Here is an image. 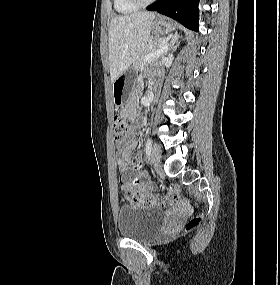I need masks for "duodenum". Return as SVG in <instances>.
Here are the masks:
<instances>
[{
	"label": "duodenum",
	"mask_w": 280,
	"mask_h": 285,
	"mask_svg": "<svg viewBox=\"0 0 280 285\" xmlns=\"http://www.w3.org/2000/svg\"><path fill=\"white\" fill-rule=\"evenodd\" d=\"M153 100L156 101L160 95V88L158 83L154 82L152 85Z\"/></svg>",
	"instance_id": "410a0bca"
}]
</instances>
